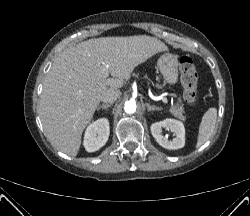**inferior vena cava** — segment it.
<instances>
[{"label": "inferior vena cava", "instance_id": "obj_1", "mask_svg": "<svg viewBox=\"0 0 250 216\" xmlns=\"http://www.w3.org/2000/svg\"><path fill=\"white\" fill-rule=\"evenodd\" d=\"M120 95H121V92L119 89L110 88L101 95V101L105 103H113L120 97Z\"/></svg>", "mask_w": 250, "mask_h": 216}]
</instances>
